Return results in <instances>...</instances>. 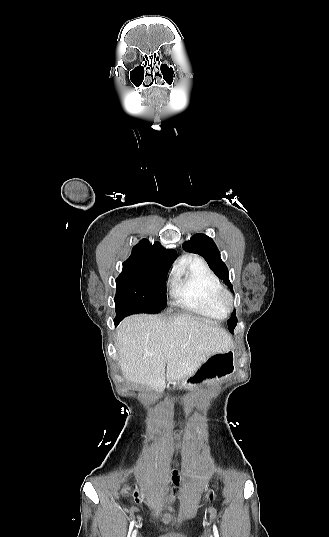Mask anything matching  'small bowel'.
<instances>
[{"instance_id":"c3829d8e","label":"small bowel","mask_w":329,"mask_h":537,"mask_svg":"<svg viewBox=\"0 0 329 537\" xmlns=\"http://www.w3.org/2000/svg\"><path fill=\"white\" fill-rule=\"evenodd\" d=\"M169 464L171 465V469H170L171 471H169L171 473L170 480L173 482V487L171 489V496L175 499H178V485L181 482L180 476H179V470H178L179 464L176 461H171ZM136 503L138 507H142L143 500L139 496H137ZM164 506L165 508L170 510L172 513H175V509L171 507L169 504H165ZM154 519L157 521H163L165 520V516L163 514H156L154 516Z\"/></svg>"}]
</instances>
